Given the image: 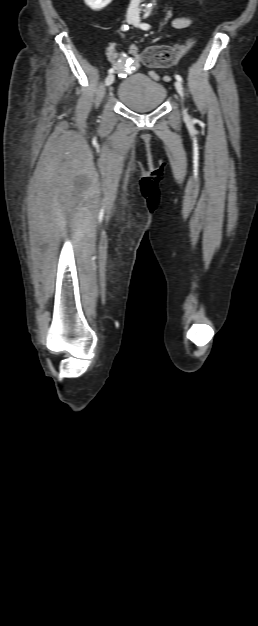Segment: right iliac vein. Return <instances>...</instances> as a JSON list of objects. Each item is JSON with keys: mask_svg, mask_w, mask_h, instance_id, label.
Returning a JSON list of instances; mask_svg holds the SVG:
<instances>
[{"mask_svg": "<svg viewBox=\"0 0 258 626\" xmlns=\"http://www.w3.org/2000/svg\"><path fill=\"white\" fill-rule=\"evenodd\" d=\"M135 21H136V18H134V17H132V16L127 17V22H128L129 24H133ZM114 80H115V76H114V74H110V75H108V76H107V78H106V80H105V84H106V86H110V85H112V84H113V82H114Z\"/></svg>", "mask_w": 258, "mask_h": 626, "instance_id": "right-iliac-vein-1", "label": "right iliac vein"}]
</instances>
